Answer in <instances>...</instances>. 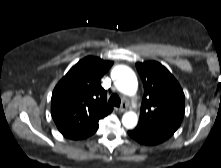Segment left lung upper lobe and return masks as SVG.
<instances>
[{
	"label": "left lung upper lobe",
	"mask_w": 221,
	"mask_h": 168,
	"mask_svg": "<svg viewBox=\"0 0 221 168\" xmlns=\"http://www.w3.org/2000/svg\"><path fill=\"white\" fill-rule=\"evenodd\" d=\"M144 85L137 128L171 137L179 128L185 111V96L174 76L160 63H136Z\"/></svg>",
	"instance_id": "1"
}]
</instances>
